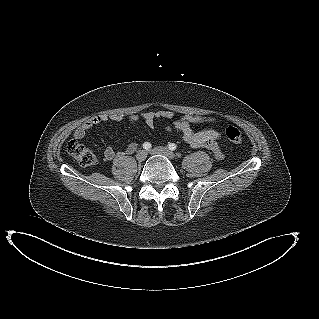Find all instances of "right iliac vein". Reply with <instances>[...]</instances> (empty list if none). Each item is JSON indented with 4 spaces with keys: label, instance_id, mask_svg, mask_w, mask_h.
<instances>
[{
    "label": "right iliac vein",
    "instance_id": "1",
    "mask_svg": "<svg viewBox=\"0 0 319 319\" xmlns=\"http://www.w3.org/2000/svg\"><path fill=\"white\" fill-rule=\"evenodd\" d=\"M146 158H147V151L140 150V151L137 152L136 159L139 162H143Z\"/></svg>",
    "mask_w": 319,
    "mask_h": 319
}]
</instances>
